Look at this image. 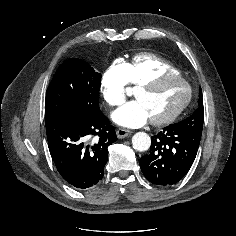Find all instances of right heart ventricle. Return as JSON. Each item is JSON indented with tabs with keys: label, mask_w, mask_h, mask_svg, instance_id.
Returning <instances> with one entry per match:
<instances>
[{
	"label": "right heart ventricle",
	"mask_w": 236,
	"mask_h": 236,
	"mask_svg": "<svg viewBox=\"0 0 236 236\" xmlns=\"http://www.w3.org/2000/svg\"><path fill=\"white\" fill-rule=\"evenodd\" d=\"M127 66V82L136 87L161 74H179L169 61L149 53L135 56Z\"/></svg>",
	"instance_id": "1"
}]
</instances>
